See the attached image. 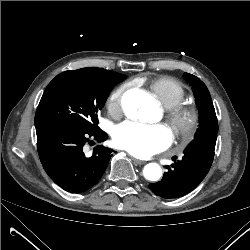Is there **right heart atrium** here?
I'll return each instance as SVG.
<instances>
[{"label":"right heart atrium","instance_id":"1","mask_svg":"<svg viewBox=\"0 0 250 250\" xmlns=\"http://www.w3.org/2000/svg\"><path fill=\"white\" fill-rule=\"evenodd\" d=\"M124 89L125 88L123 86L115 88L107 98V109L109 113L114 117H118L123 113L122 98Z\"/></svg>","mask_w":250,"mask_h":250}]
</instances>
